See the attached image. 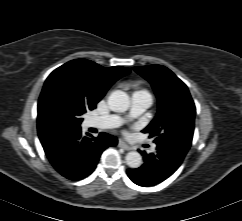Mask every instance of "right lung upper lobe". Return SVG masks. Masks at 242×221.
<instances>
[{
	"label": "right lung upper lobe",
	"instance_id": "obj_1",
	"mask_svg": "<svg viewBox=\"0 0 242 221\" xmlns=\"http://www.w3.org/2000/svg\"><path fill=\"white\" fill-rule=\"evenodd\" d=\"M128 73V68H104L86 59L69 61L54 70L46 79L38 101L37 122L41 143L60 132L54 125L56 96L79 100L92 110L110 86Z\"/></svg>",
	"mask_w": 242,
	"mask_h": 221
}]
</instances>
